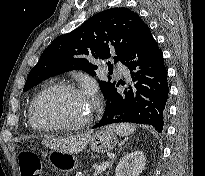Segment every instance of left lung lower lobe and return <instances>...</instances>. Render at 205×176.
<instances>
[{"instance_id": "obj_1", "label": "left lung lower lobe", "mask_w": 205, "mask_h": 176, "mask_svg": "<svg viewBox=\"0 0 205 176\" xmlns=\"http://www.w3.org/2000/svg\"><path fill=\"white\" fill-rule=\"evenodd\" d=\"M121 62L130 70L135 84L126 87L122 94L117 93L114 86L106 96L108 101L102 119L92 128L133 122L152 125L162 132L169 93L167 70L148 25L142 27Z\"/></svg>"}]
</instances>
